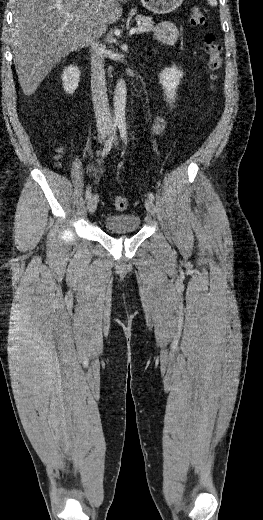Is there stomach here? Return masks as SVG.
Segmentation results:
<instances>
[{
	"instance_id": "obj_1",
	"label": "stomach",
	"mask_w": 263,
	"mask_h": 520,
	"mask_svg": "<svg viewBox=\"0 0 263 520\" xmlns=\"http://www.w3.org/2000/svg\"><path fill=\"white\" fill-rule=\"evenodd\" d=\"M184 0H141L142 5L154 14H168L178 9Z\"/></svg>"
}]
</instances>
